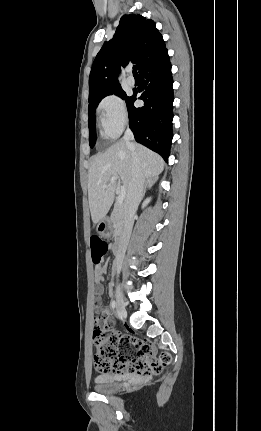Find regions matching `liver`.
<instances>
[{
  "label": "liver",
  "instance_id": "6515ba94",
  "mask_svg": "<svg viewBox=\"0 0 261 431\" xmlns=\"http://www.w3.org/2000/svg\"><path fill=\"white\" fill-rule=\"evenodd\" d=\"M142 173L145 178L158 176L164 168L163 159L146 147L134 144ZM113 176H120L128 191L133 177L132 150L123 141L96 155L88 171V201L94 224L108 213L115 197L117 184L110 183ZM107 185V187H104Z\"/></svg>",
  "mask_w": 261,
  "mask_h": 431
}]
</instances>
